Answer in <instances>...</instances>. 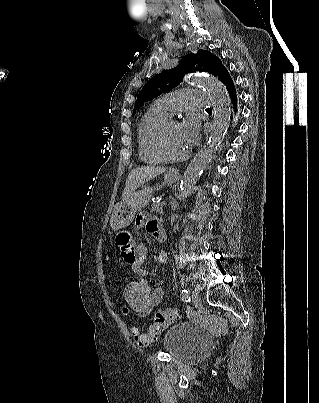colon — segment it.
Segmentation results:
<instances>
[{
	"mask_svg": "<svg viewBox=\"0 0 319 403\" xmlns=\"http://www.w3.org/2000/svg\"><path fill=\"white\" fill-rule=\"evenodd\" d=\"M121 253V250H120ZM152 285L148 275H129L128 285L124 288L125 302H130V308H119V317H124L130 341L139 346H149L153 340L168 326L180 318V310L176 307L166 308L157 312L147 333L140 331L138 321H133V313H147L152 300ZM126 304V303H125Z\"/></svg>",
	"mask_w": 319,
	"mask_h": 403,
	"instance_id": "colon-1",
	"label": "colon"
}]
</instances>
